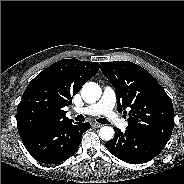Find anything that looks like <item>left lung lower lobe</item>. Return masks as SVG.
Listing matches in <instances>:
<instances>
[{"label": "left lung lower lobe", "instance_id": "0a47b994", "mask_svg": "<svg viewBox=\"0 0 184 184\" xmlns=\"http://www.w3.org/2000/svg\"><path fill=\"white\" fill-rule=\"evenodd\" d=\"M114 130V138L105 145L111 154L124 162L146 163L156 157L165 147L130 127H127L125 132L116 127Z\"/></svg>", "mask_w": 184, "mask_h": 184}]
</instances>
